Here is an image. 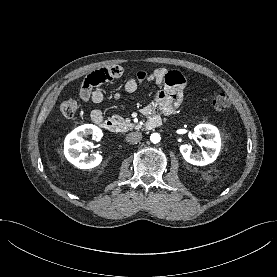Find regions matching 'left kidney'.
<instances>
[{"mask_svg":"<svg viewBox=\"0 0 277 277\" xmlns=\"http://www.w3.org/2000/svg\"><path fill=\"white\" fill-rule=\"evenodd\" d=\"M198 136L205 135L206 139L201 140V144L206 147L202 154H193L191 146L184 144L180 146L183 158L190 164L204 166L216 160L220 148L221 138L218 129L210 124H199L194 128Z\"/></svg>","mask_w":277,"mask_h":277,"instance_id":"obj_1","label":"left kidney"}]
</instances>
